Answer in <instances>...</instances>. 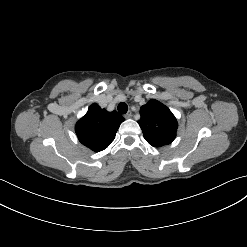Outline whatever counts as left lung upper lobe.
<instances>
[{
    "instance_id": "5c2ea615",
    "label": "left lung upper lobe",
    "mask_w": 247,
    "mask_h": 247,
    "mask_svg": "<svg viewBox=\"0 0 247 247\" xmlns=\"http://www.w3.org/2000/svg\"><path fill=\"white\" fill-rule=\"evenodd\" d=\"M139 125L145 140L154 147L170 144L176 137L177 120L168 107L150 100L140 109Z\"/></svg>"
}]
</instances>
